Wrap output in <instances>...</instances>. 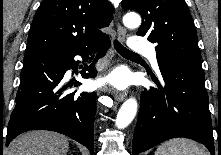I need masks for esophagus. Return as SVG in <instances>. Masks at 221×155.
<instances>
[{
    "label": "esophagus",
    "instance_id": "esophagus-1",
    "mask_svg": "<svg viewBox=\"0 0 221 155\" xmlns=\"http://www.w3.org/2000/svg\"><path fill=\"white\" fill-rule=\"evenodd\" d=\"M117 36H118L119 41H121V42L125 41L126 29L124 27H122L120 24L117 25ZM114 98L117 101L122 102L126 98V92H115Z\"/></svg>",
    "mask_w": 221,
    "mask_h": 155
}]
</instances>
